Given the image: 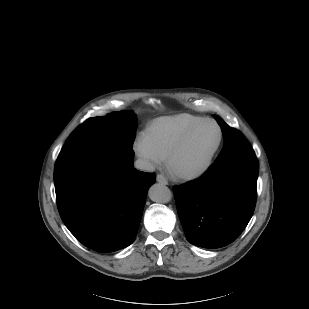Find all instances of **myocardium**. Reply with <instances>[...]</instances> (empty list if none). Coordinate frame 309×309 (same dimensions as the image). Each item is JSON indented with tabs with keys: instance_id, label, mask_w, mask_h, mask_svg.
Returning a JSON list of instances; mask_svg holds the SVG:
<instances>
[{
	"instance_id": "f54148a6",
	"label": "myocardium",
	"mask_w": 309,
	"mask_h": 309,
	"mask_svg": "<svg viewBox=\"0 0 309 309\" xmlns=\"http://www.w3.org/2000/svg\"><path fill=\"white\" fill-rule=\"evenodd\" d=\"M206 123L215 124L216 127L218 128V132H219L218 140H217L213 150L211 151L208 159L206 160V162L202 166H200L199 168H197L195 170L187 171V170L177 169L174 166V160H175L176 156L178 155V153L180 152V150L182 149L184 144L192 136V134L199 127H201L202 125H204ZM223 138H224L223 129H222L221 125L215 119L204 118V119L200 120L199 122L192 125L188 130H186V132L173 145L172 149L170 150V152L168 153V155L166 157V166H167L168 170L171 172V174H173L178 179L193 180V179L199 178L200 176L205 174L210 169V167L212 166L214 159H215V157H216V155H217V153H218V151H219V149L222 145Z\"/></svg>"
}]
</instances>
